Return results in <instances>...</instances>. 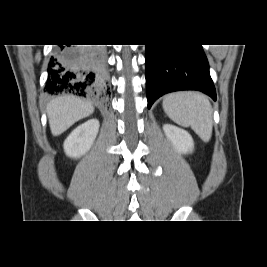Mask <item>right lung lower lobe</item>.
I'll list each match as a JSON object with an SVG mask.
<instances>
[{"label": "right lung lower lobe", "mask_w": 267, "mask_h": 267, "mask_svg": "<svg viewBox=\"0 0 267 267\" xmlns=\"http://www.w3.org/2000/svg\"><path fill=\"white\" fill-rule=\"evenodd\" d=\"M47 71L45 89L50 94L72 93L96 99L107 95L105 51L101 47L58 45Z\"/></svg>", "instance_id": "right-lung-lower-lobe-1"}]
</instances>
